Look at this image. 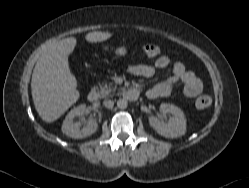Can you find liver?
Returning a JSON list of instances; mask_svg holds the SVG:
<instances>
[{
    "label": "liver",
    "instance_id": "6515ba94",
    "mask_svg": "<svg viewBox=\"0 0 249 188\" xmlns=\"http://www.w3.org/2000/svg\"><path fill=\"white\" fill-rule=\"evenodd\" d=\"M112 33L95 31L86 34L90 43L103 42ZM77 40L65 38L47 46L32 74L31 93L36 111L42 120L51 123L63 115L80 97L77 80L69 69L68 57Z\"/></svg>",
    "mask_w": 249,
    "mask_h": 188
}]
</instances>
